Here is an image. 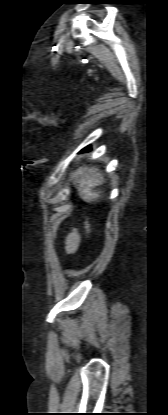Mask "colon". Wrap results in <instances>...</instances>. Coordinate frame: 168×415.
Returning <instances> with one entry per match:
<instances>
[{
	"label": "colon",
	"mask_w": 168,
	"mask_h": 415,
	"mask_svg": "<svg viewBox=\"0 0 168 415\" xmlns=\"http://www.w3.org/2000/svg\"><path fill=\"white\" fill-rule=\"evenodd\" d=\"M86 228H87L88 234L90 235L92 233V225L89 219L86 222Z\"/></svg>",
	"instance_id": "obj_1"
}]
</instances>
